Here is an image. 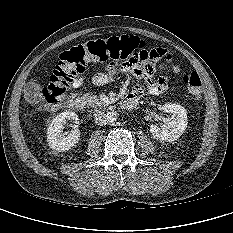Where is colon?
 I'll return each instance as SVG.
<instances>
[{
    "mask_svg": "<svg viewBox=\"0 0 233 233\" xmlns=\"http://www.w3.org/2000/svg\"><path fill=\"white\" fill-rule=\"evenodd\" d=\"M142 47H145V44L140 38L122 35L89 40L65 50L60 54L59 62L50 77V83L42 89L44 106L57 107L63 100L67 89L76 77L84 72L89 63L109 62L113 66L124 55ZM174 69L177 68L174 67ZM183 81L196 100L202 99V80L197 72L186 73Z\"/></svg>",
    "mask_w": 233,
    "mask_h": 233,
    "instance_id": "obj_1",
    "label": "colon"
}]
</instances>
